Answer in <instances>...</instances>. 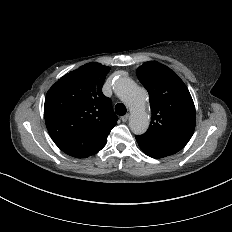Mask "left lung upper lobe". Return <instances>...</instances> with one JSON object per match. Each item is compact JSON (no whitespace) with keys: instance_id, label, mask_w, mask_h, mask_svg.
I'll return each mask as SVG.
<instances>
[{"instance_id":"5c2ea615","label":"left lung upper lobe","mask_w":232,"mask_h":232,"mask_svg":"<svg viewBox=\"0 0 232 232\" xmlns=\"http://www.w3.org/2000/svg\"><path fill=\"white\" fill-rule=\"evenodd\" d=\"M137 77L149 93L152 119L141 137L177 150L190 140L196 113L192 97L180 77L158 62H146L137 69Z\"/></svg>"}]
</instances>
